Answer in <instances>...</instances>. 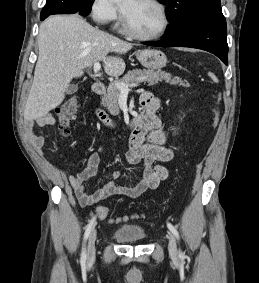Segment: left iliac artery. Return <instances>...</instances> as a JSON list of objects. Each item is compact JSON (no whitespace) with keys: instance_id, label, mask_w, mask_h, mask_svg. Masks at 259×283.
<instances>
[{"instance_id":"1","label":"left iliac artery","mask_w":259,"mask_h":283,"mask_svg":"<svg viewBox=\"0 0 259 283\" xmlns=\"http://www.w3.org/2000/svg\"><path fill=\"white\" fill-rule=\"evenodd\" d=\"M167 226L170 229V231L174 234V236L179 240L180 237L177 229L171 223H167ZM179 256L182 257L183 253L179 252Z\"/></svg>"}]
</instances>
